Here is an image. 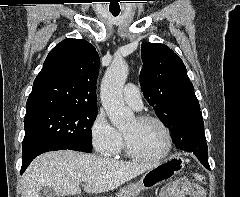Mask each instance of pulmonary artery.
<instances>
[{
    "instance_id": "obj_1",
    "label": "pulmonary artery",
    "mask_w": 240,
    "mask_h": 197,
    "mask_svg": "<svg viewBox=\"0 0 240 197\" xmlns=\"http://www.w3.org/2000/svg\"><path fill=\"white\" fill-rule=\"evenodd\" d=\"M124 101L135 110H140L142 107V99L139 88L131 83L125 85L123 90Z\"/></svg>"
}]
</instances>
